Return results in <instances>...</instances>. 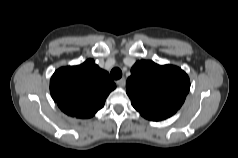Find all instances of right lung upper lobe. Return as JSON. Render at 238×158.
I'll return each instance as SVG.
<instances>
[{
	"instance_id": "obj_1",
	"label": "right lung upper lobe",
	"mask_w": 238,
	"mask_h": 158,
	"mask_svg": "<svg viewBox=\"0 0 238 158\" xmlns=\"http://www.w3.org/2000/svg\"><path fill=\"white\" fill-rule=\"evenodd\" d=\"M115 88L109 74L92 59L78 66L62 67L50 80L54 101L64 113L77 118L93 117Z\"/></svg>"
}]
</instances>
